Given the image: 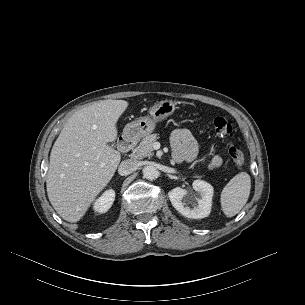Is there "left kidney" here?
I'll return each instance as SVG.
<instances>
[{"instance_id": "left-kidney-1", "label": "left kidney", "mask_w": 305, "mask_h": 305, "mask_svg": "<svg viewBox=\"0 0 305 305\" xmlns=\"http://www.w3.org/2000/svg\"><path fill=\"white\" fill-rule=\"evenodd\" d=\"M192 186L197 194L189 196L186 189L176 187L168 192V197L173 207L183 216L191 219L205 218L211 212L213 187L203 180H195Z\"/></svg>"}]
</instances>
